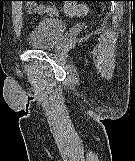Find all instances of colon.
Wrapping results in <instances>:
<instances>
[{
  "label": "colon",
  "instance_id": "obj_1",
  "mask_svg": "<svg viewBox=\"0 0 135 161\" xmlns=\"http://www.w3.org/2000/svg\"><path fill=\"white\" fill-rule=\"evenodd\" d=\"M65 1L63 11L67 16L70 17H81L88 13V6L85 4L78 3L74 0H60Z\"/></svg>",
  "mask_w": 135,
  "mask_h": 161
}]
</instances>
